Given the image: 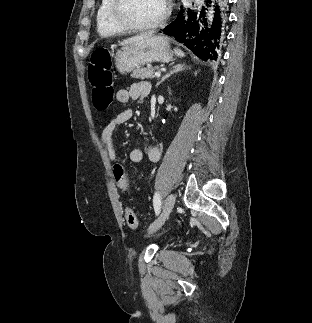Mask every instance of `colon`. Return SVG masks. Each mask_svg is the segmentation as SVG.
<instances>
[{"mask_svg": "<svg viewBox=\"0 0 312 323\" xmlns=\"http://www.w3.org/2000/svg\"><path fill=\"white\" fill-rule=\"evenodd\" d=\"M112 64L111 53L107 48L96 49L91 56L89 64V81L92 85V104L97 110H106L112 102L114 92V79L110 71ZM116 181L125 185L124 167L115 165ZM126 221L132 230H137L139 221L133 210L125 211Z\"/></svg>", "mask_w": 312, "mask_h": 323, "instance_id": "1", "label": "colon"}]
</instances>
